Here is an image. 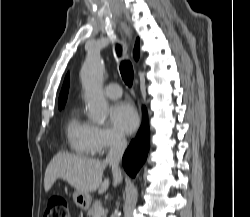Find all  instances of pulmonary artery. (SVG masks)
<instances>
[{
    "label": "pulmonary artery",
    "instance_id": "e3ab8cb5",
    "mask_svg": "<svg viewBox=\"0 0 250 217\" xmlns=\"http://www.w3.org/2000/svg\"><path fill=\"white\" fill-rule=\"evenodd\" d=\"M104 93L110 99H118L122 96V89L116 83H110L105 87Z\"/></svg>",
    "mask_w": 250,
    "mask_h": 217
}]
</instances>
